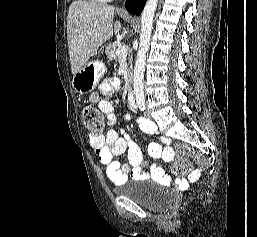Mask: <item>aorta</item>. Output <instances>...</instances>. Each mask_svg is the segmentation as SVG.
<instances>
[{"mask_svg": "<svg viewBox=\"0 0 257 237\" xmlns=\"http://www.w3.org/2000/svg\"><path fill=\"white\" fill-rule=\"evenodd\" d=\"M157 4L158 0H148L141 14L140 43L133 73L134 95L137 100H143L145 96L144 71Z\"/></svg>", "mask_w": 257, "mask_h": 237, "instance_id": "obj_1", "label": "aorta"}]
</instances>
